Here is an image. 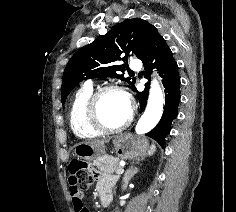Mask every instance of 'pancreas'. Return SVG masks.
<instances>
[{"mask_svg":"<svg viewBox=\"0 0 236 212\" xmlns=\"http://www.w3.org/2000/svg\"><path fill=\"white\" fill-rule=\"evenodd\" d=\"M93 165L100 169L102 174H112L122 168L120 159L117 157L106 156L103 159L93 161Z\"/></svg>","mask_w":236,"mask_h":212,"instance_id":"pancreas-1","label":"pancreas"}]
</instances>
